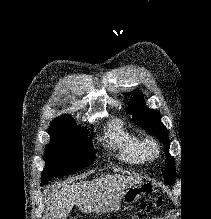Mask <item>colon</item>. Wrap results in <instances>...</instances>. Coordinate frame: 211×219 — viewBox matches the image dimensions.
<instances>
[{"mask_svg":"<svg viewBox=\"0 0 211 219\" xmlns=\"http://www.w3.org/2000/svg\"><path fill=\"white\" fill-rule=\"evenodd\" d=\"M163 202L161 199H154L152 201L143 202L140 205V209L136 214V217L138 219H142L144 215L149 214L153 210L160 208L162 206Z\"/></svg>","mask_w":211,"mask_h":219,"instance_id":"5ec220e1","label":"colon"}]
</instances>
